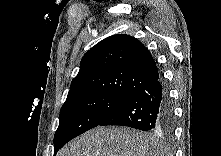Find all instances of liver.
<instances>
[{
    "label": "liver",
    "instance_id": "obj_1",
    "mask_svg": "<svg viewBox=\"0 0 221 156\" xmlns=\"http://www.w3.org/2000/svg\"><path fill=\"white\" fill-rule=\"evenodd\" d=\"M159 139L128 127H97L63 147L57 156H160Z\"/></svg>",
    "mask_w": 221,
    "mask_h": 156
}]
</instances>
